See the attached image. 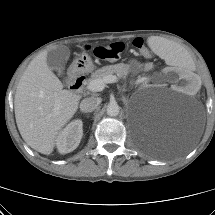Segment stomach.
<instances>
[{
  "label": "stomach",
  "instance_id": "1",
  "mask_svg": "<svg viewBox=\"0 0 215 215\" xmlns=\"http://www.w3.org/2000/svg\"><path fill=\"white\" fill-rule=\"evenodd\" d=\"M73 69L81 73L91 72L94 69L91 57L86 53L80 54L79 57L73 61Z\"/></svg>",
  "mask_w": 215,
  "mask_h": 215
}]
</instances>
